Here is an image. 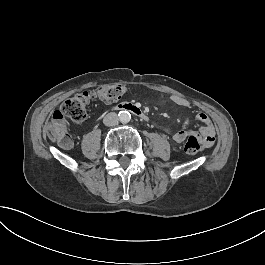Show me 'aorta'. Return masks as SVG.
<instances>
[{"instance_id": "aorta-1", "label": "aorta", "mask_w": 265, "mask_h": 265, "mask_svg": "<svg viewBox=\"0 0 265 265\" xmlns=\"http://www.w3.org/2000/svg\"><path fill=\"white\" fill-rule=\"evenodd\" d=\"M119 120L123 124H127L131 120V114L128 111H121L119 113Z\"/></svg>"}]
</instances>
